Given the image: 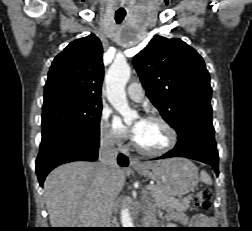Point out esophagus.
Returning <instances> with one entry per match:
<instances>
[{"instance_id": "1", "label": "esophagus", "mask_w": 252, "mask_h": 231, "mask_svg": "<svg viewBox=\"0 0 252 231\" xmlns=\"http://www.w3.org/2000/svg\"><path fill=\"white\" fill-rule=\"evenodd\" d=\"M130 166L132 167H141L143 166V163L136 157L130 158Z\"/></svg>"}]
</instances>
